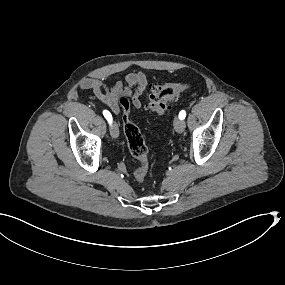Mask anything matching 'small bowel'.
<instances>
[{"label":"small bowel","mask_w":285,"mask_h":285,"mask_svg":"<svg viewBox=\"0 0 285 285\" xmlns=\"http://www.w3.org/2000/svg\"><path fill=\"white\" fill-rule=\"evenodd\" d=\"M80 87L93 92L101 103L113 113L118 114L120 112L119 98L122 95L132 94L133 105L136 108L142 106L141 96L148 87V80L142 72H131L127 74L125 83L116 82L109 87L100 80L86 78L81 82Z\"/></svg>","instance_id":"1"}]
</instances>
